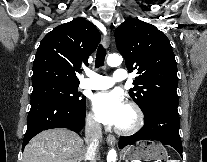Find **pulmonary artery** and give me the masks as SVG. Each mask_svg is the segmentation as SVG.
I'll list each match as a JSON object with an SVG mask.
<instances>
[{
	"label": "pulmonary artery",
	"mask_w": 207,
	"mask_h": 162,
	"mask_svg": "<svg viewBox=\"0 0 207 162\" xmlns=\"http://www.w3.org/2000/svg\"><path fill=\"white\" fill-rule=\"evenodd\" d=\"M87 79H84L80 83V87L84 89L102 90L108 89L114 85V81L122 82L126 79L127 74L123 69H117L113 73V78L108 76H102L97 73L88 71Z\"/></svg>",
	"instance_id": "e3ab8cb5"
}]
</instances>
